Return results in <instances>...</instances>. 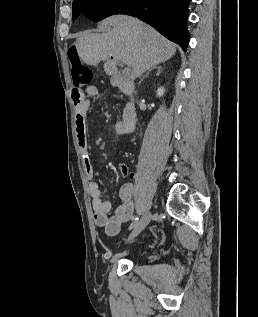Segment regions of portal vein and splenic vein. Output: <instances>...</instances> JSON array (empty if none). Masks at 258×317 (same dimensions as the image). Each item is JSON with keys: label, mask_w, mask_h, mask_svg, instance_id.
<instances>
[{"label": "portal vein and splenic vein", "mask_w": 258, "mask_h": 317, "mask_svg": "<svg viewBox=\"0 0 258 317\" xmlns=\"http://www.w3.org/2000/svg\"><path fill=\"white\" fill-rule=\"evenodd\" d=\"M125 72L126 74H129V72H131V68H125Z\"/></svg>", "instance_id": "1"}]
</instances>
